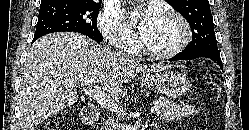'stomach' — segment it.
I'll return each mask as SVG.
<instances>
[{
	"mask_svg": "<svg viewBox=\"0 0 249 130\" xmlns=\"http://www.w3.org/2000/svg\"><path fill=\"white\" fill-rule=\"evenodd\" d=\"M147 88L170 98L184 96L191 88L189 79L180 72L160 71L141 79Z\"/></svg>",
	"mask_w": 249,
	"mask_h": 130,
	"instance_id": "0dacf381",
	"label": "stomach"
}]
</instances>
